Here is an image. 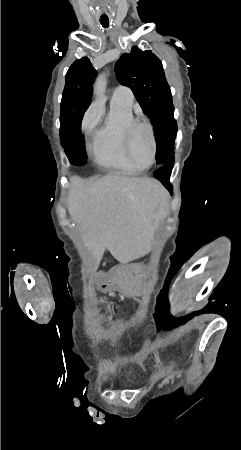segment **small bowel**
Listing matches in <instances>:
<instances>
[{
	"mask_svg": "<svg viewBox=\"0 0 241 450\" xmlns=\"http://www.w3.org/2000/svg\"><path fill=\"white\" fill-rule=\"evenodd\" d=\"M102 289L108 290L110 288V285L108 283H105L104 285H101Z\"/></svg>",
	"mask_w": 241,
	"mask_h": 450,
	"instance_id": "obj_1",
	"label": "small bowel"
}]
</instances>
